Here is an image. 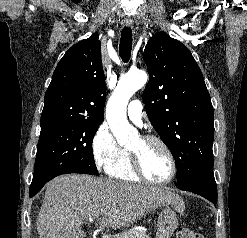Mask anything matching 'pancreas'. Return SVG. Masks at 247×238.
Wrapping results in <instances>:
<instances>
[{
	"mask_svg": "<svg viewBox=\"0 0 247 238\" xmlns=\"http://www.w3.org/2000/svg\"><path fill=\"white\" fill-rule=\"evenodd\" d=\"M114 238H149V236L145 231H127L116 235Z\"/></svg>",
	"mask_w": 247,
	"mask_h": 238,
	"instance_id": "pancreas-1",
	"label": "pancreas"
}]
</instances>
